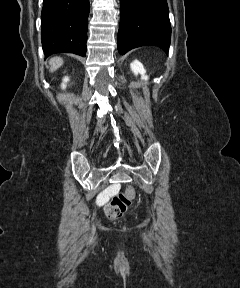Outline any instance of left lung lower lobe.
<instances>
[{
  "label": "left lung lower lobe",
  "instance_id": "left-lung-lower-lobe-1",
  "mask_svg": "<svg viewBox=\"0 0 240 288\" xmlns=\"http://www.w3.org/2000/svg\"><path fill=\"white\" fill-rule=\"evenodd\" d=\"M118 51L156 45L168 51L171 26L166 0H120Z\"/></svg>",
  "mask_w": 240,
  "mask_h": 288
}]
</instances>
